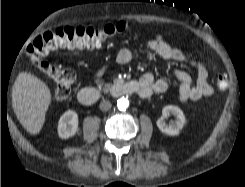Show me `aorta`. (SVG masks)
Masks as SVG:
<instances>
[{"label":"aorta","instance_id":"obj_1","mask_svg":"<svg viewBox=\"0 0 245 187\" xmlns=\"http://www.w3.org/2000/svg\"><path fill=\"white\" fill-rule=\"evenodd\" d=\"M129 106V101L127 98H120L117 100V108L120 110V111H125Z\"/></svg>","mask_w":245,"mask_h":187}]
</instances>
